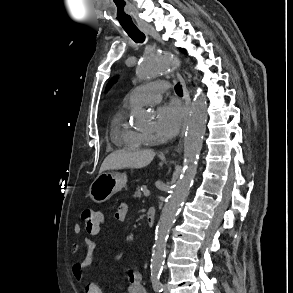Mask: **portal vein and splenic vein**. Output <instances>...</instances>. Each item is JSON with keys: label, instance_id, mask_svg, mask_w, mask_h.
Masks as SVG:
<instances>
[{"label": "portal vein and splenic vein", "instance_id": "18ae733b", "mask_svg": "<svg viewBox=\"0 0 293 293\" xmlns=\"http://www.w3.org/2000/svg\"><path fill=\"white\" fill-rule=\"evenodd\" d=\"M149 195H150V191H149V190H145V191H144V196H145V197H148Z\"/></svg>", "mask_w": 293, "mask_h": 293}]
</instances>
